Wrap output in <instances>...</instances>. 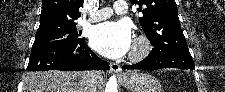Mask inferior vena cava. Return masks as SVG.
Listing matches in <instances>:
<instances>
[{
  "label": "inferior vena cava",
  "mask_w": 225,
  "mask_h": 92,
  "mask_svg": "<svg viewBox=\"0 0 225 92\" xmlns=\"http://www.w3.org/2000/svg\"><path fill=\"white\" fill-rule=\"evenodd\" d=\"M90 83H91V85H92V92H97V90H96V77H93L91 80H90Z\"/></svg>",
  "instance_id": "obj_1"
}]
</instances>
